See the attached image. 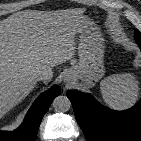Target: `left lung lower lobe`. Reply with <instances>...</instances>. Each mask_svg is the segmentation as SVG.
I'll list each match as a JSON object with an SVG mask.
<instances>
[{"label": "left lung lower lobe", "mask_w": 141, "mask_h": 141, "mask_svg": "<svg viewBox=\"0 0 141 141\" xmlns=\"http://www.w3.org/2000/svg\"><path fill=\"white\" fill-rule=\"evenodd\" d=\"M141 49V39H135ZM76 120L87 141H141V100L131 109L113 111L93 96L69 90Z\"/></svg>", "instance_id": "1"}]
</instances>
